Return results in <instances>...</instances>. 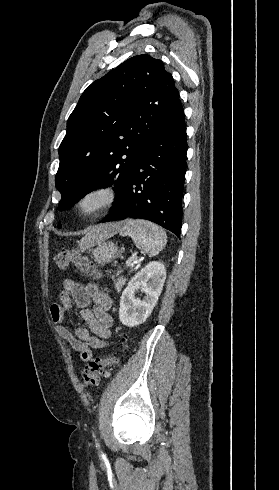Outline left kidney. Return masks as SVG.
<instances>
[{"mask_svg":"<svg viewBox=\"0 0 279 490\" xmlns=\"http://www.w3.org/2000/svg\"><path fill=\"white\" fill-rule=\"evenodd\" d=\"M166 280V268L161 262H149L135 274L122 292L119 302V320L123 326L134 328L146 322L154 310ZM137 292L145 294L143 300Z\"/></svg>","mask_w":279,"mask_h":490,"instance_id":"5707ae66","label":"left kidney"}]
</instances>
